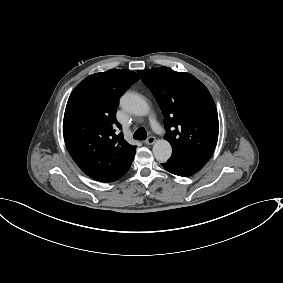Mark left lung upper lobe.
Segmentation results:
<instances>
[{
    "mask_svg": "<svg viewBox=\"0 0 283 283\" xmlns=\"http://www.w3.org/2000/svg\"><path fill=\"white\" fill-rule=\"evenodd\" d=\"M164 115L172 156L206 164L218 140L219 123L208 89L193 75L168 67L138 71Z\"/></svg>",
    "mask_w": 283,
    "mask_h": 283,
    "instance_id": "left-lung-upper-lobe-1",
    "label": "left lung upper lobe"
}]
</instances>
